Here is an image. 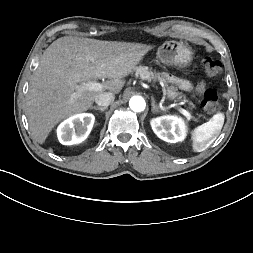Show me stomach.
<instances>
[{
    "label": "stomach",
    "instance_id": "0dacf381",
    "mask_svg": "<svg viewBox=\"0 0 253 253\" xmlns=\"http://www.w3.org/2000/svg\"><path fill=\"white\" fill-rule=\"evenodd\" d=\"M157 57L165 65L186 67L193 58V52L189 46L183 42L166 41L157 51Z\"/></svg>",
    "mask_w": 253,
    "mask_h": 253
}]
</instances>
